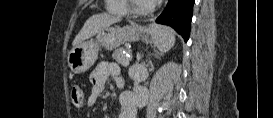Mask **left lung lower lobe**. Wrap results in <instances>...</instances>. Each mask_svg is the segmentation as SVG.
<instances>
[{"instance_id":"obj_1","label":"left lung lower lobe","mask_w":273,"mask_h":118,"mask_svg":"<svg viewBox=\"0 0 273 118\" xmlns=\"http://www.w3.org/2000/svg\"><path fill=\"white\" fill-rule=\"evenodd\" d=\"M194 2L195 0H169L166 8L155 22L172 27L187 42Z\"/></svg>"}]
</instances>
